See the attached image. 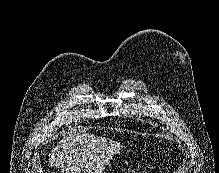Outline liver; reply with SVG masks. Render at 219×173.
<instances>
[{"instance_id":"1","label":"liver","mask_w":219,"mask_h":173,"mask_svg":"<svg viewBox=\"0 0 219 173\" xmlns=\"http://www.w3.org/2000/svg\"><path fill=\"white\" fill-rule=\"evenodd\" d=\"M122 146L114 141L77 132L62 138L49 157L50 167L62 173H102Z\"/></svg>"}]
</instances>
